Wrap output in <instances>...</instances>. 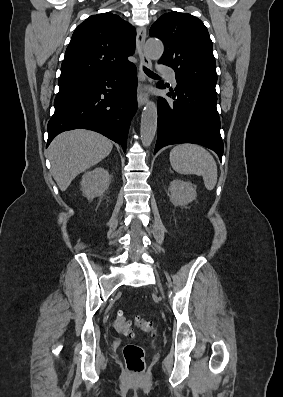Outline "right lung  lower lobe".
<instances>
[{
  "label": "right lung lower lobe",
  "mask_w": 283,
  "mask_h": 397,
  "mask_svg": "<svg viewBox=\"0 0 283 397\" xmlns=\"http://www.w3.org/2000/svg\"><path fill=\"white\" fill-rule=\"evenodd\" d=\"M136 66L59 85L47 146L59 133L83 128L103 134L126 151L130 121L137 110Z\"/></svg>",
  "instance_id": "98d812e1"
}]
</instances>
